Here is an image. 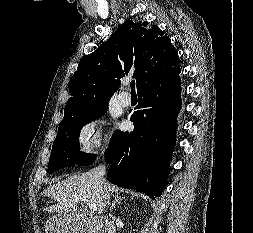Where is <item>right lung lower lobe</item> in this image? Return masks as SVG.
<instances>
[{
  "mask_svg": "<svg viewBox=\"0 0 253 233\" xmlns=\"http://www.w3.org/2000/svg\"><path fill=\"white\" fill-rule=\"evenodd\" d=\"M180 66L157 76L138 91L139 103L130 116L134 130L116 131L105 152L107 179L120 187L159 197L166 186L175 145L176 117L181 108ZM96 155L78 165H89Z\"/></svg>",
  "mask_w": 253,
  "mask_h": 233,
  "instance_id": "1",
  "label": "right lung lower lobe"
}]
</instances>
